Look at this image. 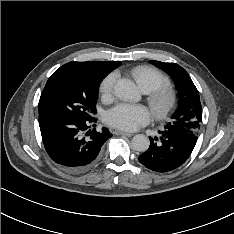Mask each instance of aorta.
<instances>
[{"label": "aorta", "instance_id": "1", "mask_svg": "<svg viewBox=\"0 0 234 234\" xmlns=\"http://www.w3.org/2000/svg\"><path fill=\"white\" fill-rule=\"evenodd\" d=\"M116 97L123 101L136 102L139 100V93L135 84L128 79H120L114 86ZM132 148L139 152H145L150 146L148 137L143 134H137L131 141Z\"/></svg>", "mask_w": 234, "mask_h": 234}]
</instances>
